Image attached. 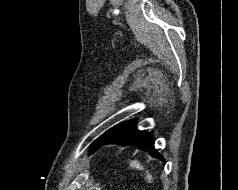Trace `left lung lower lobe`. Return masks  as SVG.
Here are the masks:
<instances>
[{"label":"left lung lower lobe","instance_id":"0a47b994","mask_svg":"<svg viewBox=\"0 0 238 190\" xmlns=\"http://www.w3.org/2000/svg\"><path fill=\"white\" fill-rule=\"evenodd\" d=\"M136 122V120H129L114 127L106 134L101 146L106 144L134 145L148 151L152 157L164 161V158L154 147L153 136L145 131L138 130Z\"/></svg>","mask_w":238,"mask_h":190}]
</instances>
